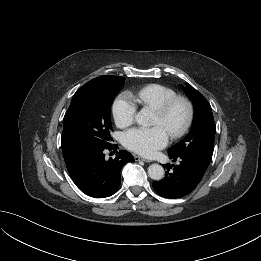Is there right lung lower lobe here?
Segmentation results:
<instances>
[{
    "instance_id": "98d812e1",
    "label": "right lung lower lobe",
    "mask_w": 261,
    "mask_h": 261,
    "mask_svg": "<svg viewBox=\"0 0 261 261\" xmlns=\"http://www.w3.org/2000/svg\"><path fill=\"white\" fill-rule=\"evenodd\" d=\"M118 149V145L109 143L105 147L86 149L64 157L66 167L76 186L86 195L104 198L118 191L120 171L134 157L120 150L114 158H105L106 150Z\"/></svg>"
}]
</instances>
